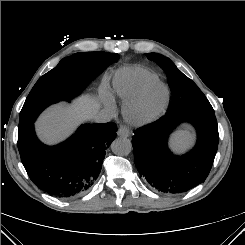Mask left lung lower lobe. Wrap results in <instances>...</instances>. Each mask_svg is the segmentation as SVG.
Listing matches in <instances>:
<instances>
[{
	"label": "left lung lower lobe",
	"mask_w": 245,
	"mask_h": 245,
	"mask_svg": "<svg viewBox=\"0 0 245 245\" xmlns=\"http://www.w3.org/2000/svg\"><path fill=\"white\" fill-rule=\"evenodd\" d=\"M190 122L197 132L195 147L176 156L168 148L172 130ZM132 138L135 165L142 177L158 191L185 192L203 182L212 167L219 133L214 110L180 108L167 112L157 121L138 128Z\"/></svg>",
	"instance_id": "obj_1"
}]
</instances>
